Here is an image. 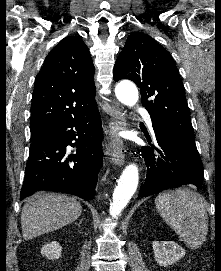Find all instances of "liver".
Masks as SVG:
<instances>
[{"instance_id": "6515ba94", "label": "liver", "mask_w": 221, "mask_h": 271, "mask_svg": "<svg viewBox=\"0 0 221 271\" xmlns=\"http://www.w3.org/2000/svg\"><path fill=\"white\" fill-rule=\"evenodd\" d=\"M82 205L75 197L63 193L38 191L24 203L21 211V227L24 239H33L42 233L60 229L78 219Z\"/></svg>"}]
</instances>
